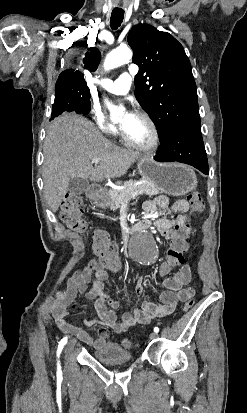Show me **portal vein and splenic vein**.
Segmentation results:
<instances>
[{"instance_id":"portal-vein-and-splenic-vein-1","label":"portal vein and splenic vein","mask_w":247,"mask_h":413,"mask_svg":"<svg viewBox=\"0 0 247 413\" xmlns=\"http://www.w3.org/2000/svg\"><path fill=\"white\" fill-rule=\"evenodd\" d=\"M91 162H94V164H98L100 162V158H92ZM123 188V186H122ZM142 190H136L132 196H137V194H141Z\"/></svg>"}]
</instances>
